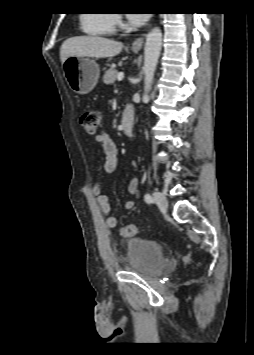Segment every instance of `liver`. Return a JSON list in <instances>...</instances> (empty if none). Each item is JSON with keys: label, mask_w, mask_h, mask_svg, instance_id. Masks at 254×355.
<instances>
[{"label": "liver", "mask_w": 254, "mask_h": 355, "mask_svg": "<svg viewBox=\"0 0 254 355\" xmlns=\"http://www.w3.org/2000/svg\"><path fill=\"white\" fill-rule=\"evenodd\" d=\"M123 44L118 41L99 36L72 37L63 42L60 48V59L64 63L69 57L106 58L118 55Z\"/></svg>", "instance_id": "obj_1"}]
</instances>
